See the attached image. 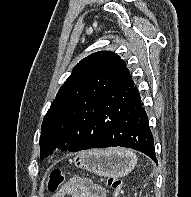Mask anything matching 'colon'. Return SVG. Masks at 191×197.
<instances>
[{"instance_id": "5ec220e1", "label": "colon", "mask_w": 191, "mask_h": 197, "mask_svg": "<svg viewBox=\"0 0 191 197\" xmlns=\"http://www.w3.org/2000/svg\"><path fill=\"white\" fill-rule=\"evenodd\" d=\"M65 180V174L62 170L54 169L50 172L47 188L50 192H57ZM107 185L115 190L116 197L120 194L121 191V180L116 177H108L106 179Z\"/></svg>"}]
</instances>
